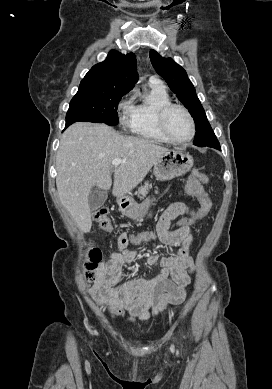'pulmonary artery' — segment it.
Here are the masks:
<instances>
[{"label": "pulmonary artery", "instance_id": "1", "mask_svg": "<svg viewBox=\"0 0 272 389\" xmlns=\"http://www.w3.org/2000/svg\"><path fill=\"white\" fill-rule=\"evenodd\" d=\"M150 83H152V84H160V85H162L161 81H160V80H158V79H157V78H155V77H152V78H150Z\"/></svg>", "mask_w": 272, "mask_h": 389}]
</instances>
